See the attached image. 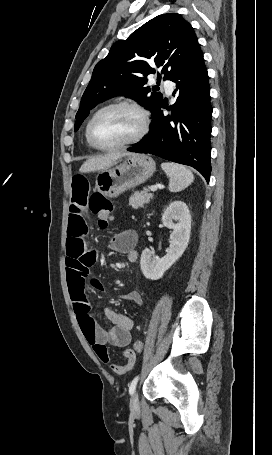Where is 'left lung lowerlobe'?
Instances as JSON below:
<instances>
[{"instance_id":"0a47b994","label":"left lung lower lobe","mask_w":272,"mask_h":455,"mask_svg":"<svg viewBox=\"0 0 272 455\" xmlns=\"http://www.w3.org/2000/svg\"><path fill=\"white\" fill-rule=\"evenodd\" d=\"M169 80L176 83L171 115H163L161 102L152 112L149 134L128 150L192 166L209 182L212 106L203 55Z\"/></svg>"}]
</instances>
